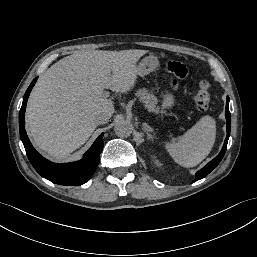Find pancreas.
Here are the masks:
<instances>
[{"label": "pancreas", "mask_w": 257, "mask_h": 257, "mask_svg": "<svg viewBox=\"0 0 257 257\" xmlns=\"http://www.w3.org/2000/svg\"><path fill=\"white\" fill-rule=\"evenodd\" d=\"M135 96L144 104L148 111L158 112L157 97L153 93H150L149 90L145 88L139 89Z\"/></svg>", "instance_id": "1"}]
</instances>
